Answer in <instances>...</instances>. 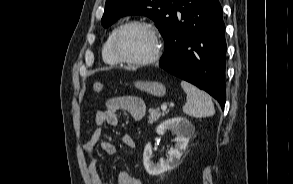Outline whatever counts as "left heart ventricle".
Instances as JSON below:
<instances>
[{"mask_svg":"<svg viewBox=\"0 0 293 184\" xmlns=\"http://www.w3.org/2000/svg\"><path fill=\"white\" fill-rule=\"evenodd\" d=\"M117 47L119 52L126 58L142 59L152 53L154 41L147 29L132 26L120 34Z\"/></svg>","mask_w":293,"mask_h":184,"instance_id":"b2bd125f","label":"left heart ventricle"}]
</instances>
